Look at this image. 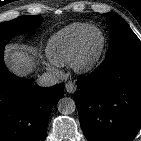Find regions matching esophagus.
I'll return each instance as SVG.
<instances>
[{"label":"esophagus","instance_id":"34e87169","mask_svg":"<svg viewBox=\"0 0 141 141\" xmlns=\"http://www.w3.org/2000/svg\"><path fill=\"white\" fill-rule=\"evenodd\" d=\"M65 90L69 94L74 93L76 91V85H75V83L72 82V81H69L68 83H66Z\"/></svg>","mask_w":141,"mask_h":141}]
</instances>
